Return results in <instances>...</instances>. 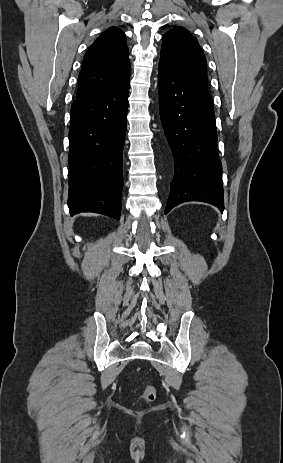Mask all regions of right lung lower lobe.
Wrapping results in <instances>:
<instances>
[{
  "mask_svg": "<svg viewBox=\"0 0 283 463\" xmlns=\"http://www.w3.org/2000/svg\"><path fill=\"white\" fill-rule=\"evenodd\" d=\"M129 82L127 78L76 97L72 104L68 157L71 214L96 212L120 219Z\"/></svg>",
  "mask_w": 283,
  "mask_h": 463,
  "instance_id": "right-lung-lower-lobe-1",
  "label": "right lung lower lobe"
}]
</instances>
